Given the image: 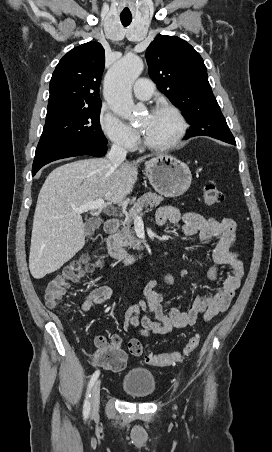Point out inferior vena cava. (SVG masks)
Wrapping results in <instances>:
<instances>
[{
    "label": "inferior vena cava",
    "instance_id": "obj_1",
    "mask_svg": "<svg viewBox=\"0 0 272 452\" xmlns=\"http://www.w3.org/2000/svg\"><path fill=\"white\" fill-rule=\"evenodd\" d=\"M127 151L121 145L113 143L111 149L107 155V158L111 164L117 166L120 165L126 158Z\"/></svg>",
    "mask_w": 272,
    "mask_h": 452
}]
</instances>
